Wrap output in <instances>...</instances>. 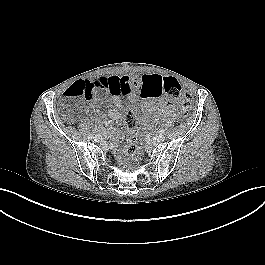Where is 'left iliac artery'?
I'll list each match as a JSON object with an SVG mask.
<instances>
[{
	"instance_id": "1",
	"label": "left iliac artery",
	"mask_w": 265,
	"mask_h": 265,
	"mask_svg": "<svg viewBox=\"0 0 265 265\" xmlns=\"http://www.w3.org/2000/svg\"><path fill=\"white\" fill-rule=\"evenodd\" d=\"M159 133H160V134H164V133H165V130H164V129H160V130H159Z\"/></svg>"
}]
</instances>
